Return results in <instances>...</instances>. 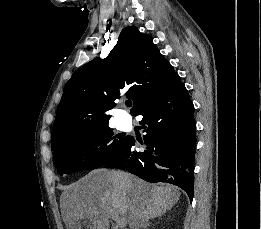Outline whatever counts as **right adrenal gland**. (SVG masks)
Returning a JSON list of instances; mask_svg holds the SVG:
<instances>
[{
	"instance_id": "1",
	"label": "right adrenal gland",
	"mask_w": 261,
	"mask_h": 229,
	"mask_svg": "<svg viewBox=\"0 0 261 229\" xmlns=\"http://www.w3.org/2000/svg\"><path fill=\"white\" fill-rule=\"evenodd\" d=\"M151 223H146L145 227L143 229H147V227H150Z\"/></svg>"
}]
</instances>
